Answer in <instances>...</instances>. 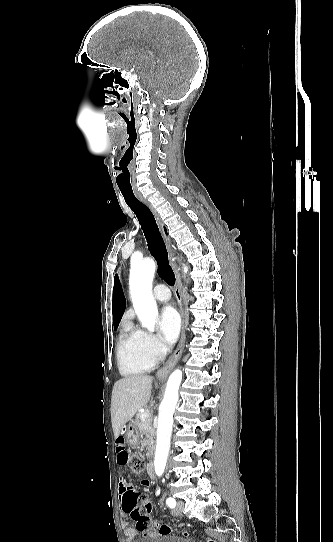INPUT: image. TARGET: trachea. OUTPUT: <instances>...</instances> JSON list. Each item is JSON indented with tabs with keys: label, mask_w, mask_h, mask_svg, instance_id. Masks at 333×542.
I'll return each instance as SVG.
<instances>
[{
	"label": "trachea",
	"mask_w": 333,
	"mask_h": 542,
	"mask_svg": "<svg viewBox=\"0 0 333 542\" xmlns=\"http://www.w3.org/2000/svg\"><path fill=\"white\" fill-rule=\"evenodd\" d=\"M127 205L135 213L147 239L151 255L156 259L159 275L169 285L175 284V275L168 262L167 250L151 210L140 202L132 189H120Z\"/></svg>",
	"instance_id": "3493384b"
}]
</instances>
